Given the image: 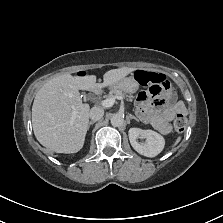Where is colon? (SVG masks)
Masks as SVG:
<instances>
[{
	"label": "colon",
	"mask_w": 223,
	"mask_h": 223,
	"mask_svg": "<svg viewBox=\"0 0 223 223\" xmlns=\"http://www.w3.org/2000/svg\"><path fill=\"white\" fill-rule=\"evenodd\" d=\"M135 79L143 86H153L157 84H164L167 82L166 77L163 74L142 70L135 72ZM186 126V116L182 112L178 113L174 120L175 130L177 132H183Z\"/></svg>",
	"instance_id": "1"
}]
</instances>
